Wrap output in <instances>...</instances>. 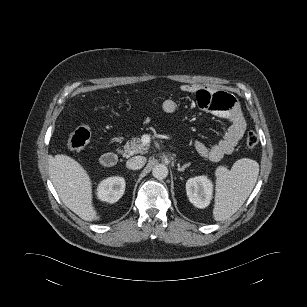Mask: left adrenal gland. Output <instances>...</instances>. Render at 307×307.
<instances>
[{"label":"left adrenal gland","instance_id":"obj_1","mask_svg":"<svg viewBox=\"0 0 307 307\" xmlns=\"http://www.w3.org/2000/svg\"><path fill=\"white\" fill-rule=\"evenodd\" d=\"M191 165V163H187V164H184L182 167L178 166L177 170L179 172H183L185 170V168L189 167Z\"/></svg>","mask_w":307,"mask_h":307}]
</instances>
